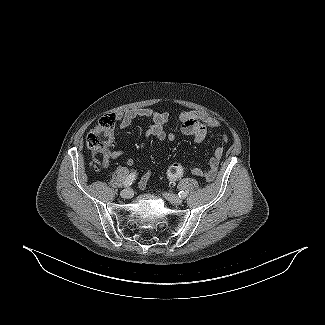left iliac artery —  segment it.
<instances>
[{
    "label": "left iliac artery",
    "instance_id": "obj_1",
    "mask_svg": "<svg viewBox=\"0 0 325 325\" xmlns=\"http://www.w3.org/2000/svg\"><path fill=\"white\" fill-rule=\"evenodd\" d=\"M180 198H186L188 196V192L187 191H180L178 193Z\"/></svg>",
    "mask_w": 325,
    "mask_h": 325
}]
</instances>
